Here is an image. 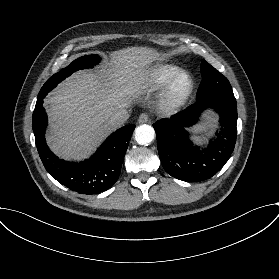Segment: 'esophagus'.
I'll list each match as a JSON object with an SVG mask.
<instances>
[{
    "label": "esophagus",
    "instance_id": "esophagus-1",
    "mask_svg": "<svg viewBox=\"0 0 279 279\" xmlns=\"http://www.w3.org/2000/svg\"><path fill=\"white\" fill-rule=\"evenodd\" d=\"M149 120V116L145 113L141 114L138 118L140 124L146 123Z\"/></svg>",
    "mask_w": 279,
    "mask_h": 279
}]
</instances>
